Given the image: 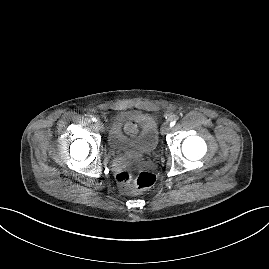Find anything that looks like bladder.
I'll use <instances>...</instances> for the list:
<instances>
[{
  "label": "bladder",
  "instance_id": "31cf9c89",
  "mask_svg": "<svg viewBox=\"0 0 269 269\" xmlns=\"http://www.w3.org/2000/svg\"><path fill=\"white\" fill-rule=\"evenodd\" d=\"M130 124L136 126L132 134L125 132ZM158 142V126L152 117L138 112H120L114 116L108 132V144L113 153L143 157L151 155Z\"/></svg>",
  "mask_w": 269,
  "mask_h": 269
}]
</instances>
